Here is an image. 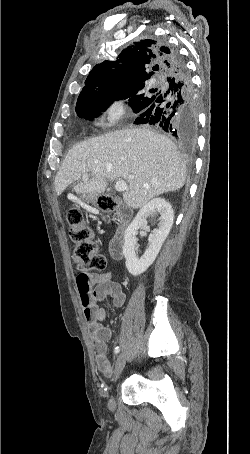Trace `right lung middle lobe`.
I'll list each match as a JSON object with an SVG mask.
<instances>
[{
	"instance_id": "right-lung-middle-lobe-1",
	"label": "right lung middle lobe",
	"mask_w": 250,
	"mask_h": 454,
	"mask_svg": "<svg viewBox=\"0 0 250 454\" xmlns=\"http://www.w3.org/2000/svg\"><path fill=\"white\" fill-rule=\"evenodd\" d=\"M144 85L145 84L135 86L118 94L117 97L108 98L103 101L76 104V113L81 118L92 119L93 117L98 116L100 112L108 108L112 101L129 97V105L133 109V112L137 113L143 106L157 96L156 94L148 97L144 93H140V90L144 88Z\"/></svg>"
}]
</instances>
